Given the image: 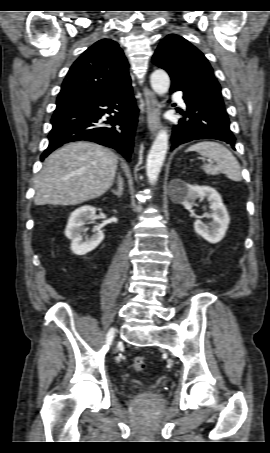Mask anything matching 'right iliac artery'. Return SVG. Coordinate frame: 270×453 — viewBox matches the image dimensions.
Returning <instances> with one entry per match:
<instances>
[{"label":"right iliac artery","mask_w":270,"mask_h":453,"mask_svg":"<svg viewBox=\"0 0 270 453\" xmlns=\"http://www.w3.org/2000/svg\"><path fill=\"white\" fill-rule=\"evenodd\" d=\"M113 336H114V329L111 328V329L109 330L108 334H107V341H108V342H111L112 339H113Z\"/></svg>","instance_id":"obj_1"}]
</instances>
